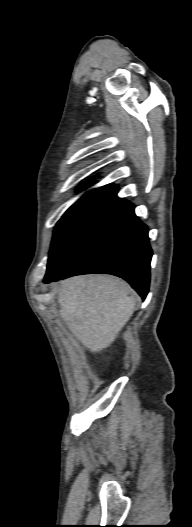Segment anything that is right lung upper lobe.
<instances>
[{
  "label": "right lung upper lobe",
  "instance_id": "1",
  "mask_svg": "<svg viewBox=\"0 0 192 527\" xmlns=\"http://www.w3.org/2000/svg\"><path fill=\"white\" fill-rule=\"evenodd\" d=\"M85 182H90V180H86Z\"/></svg>",
  "mask_w": 192,
  "mask_h": 527
}]
</instances>
